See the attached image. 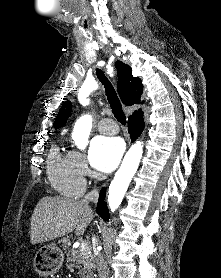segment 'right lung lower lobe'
Instances as JSON below:
<instances>
[{
  "mask_svg": "<svg viewBox=\"0 0 221 278\" xmlns=\"http://www.w3.org/2000/svg\"><path fill=\"white\" fill-rule=\"evenodd\" d=\"M144 129V120L143 116L131 117L128 120V131L130 133L132 141H135L142 133ZM105 188L100 191L99 200L96 207L97 213L103 218L105 221L109 220L108 208L106 207L105 199Z\"/></svg>",
  "mask_w": 221,
  "mask_h": 278,
  "instance_id": "obj_1",
  "label": "right lung lower lobe"
}]
</instances>
